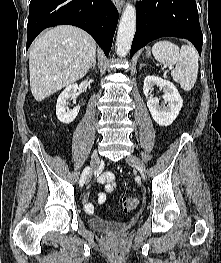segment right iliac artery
I'll list each match as a JSON object with an SVG mask.
<instances>
[{"instance_id": "obj_1", "label": "right iliac artery", "mask_w": 221, "mask_h": 263, "mask_svg": "<svg viewBox=\"0 0 221 263\" xmlns=\"http://www.w3.org/2000/svg\"><path fill=\"white\" fill-rule=\"evenodd\" d=\"M89 172H90V167H86V168L83 170L82 175H81L80 180H79V185H80V186H83V185H84L85 180H86V177H87V175L89 174Z\"/></svg>"}]
</instances>
